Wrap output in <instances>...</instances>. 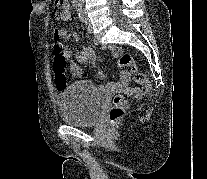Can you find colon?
<instances>
[{
    "label": "colon",
    "mask_w": 207,
    "mask_h": 179,
    "mask_svg": "<svg viewBox=\"0 0 207 179\" xmlns=\"http://www.w3.org/2000/svg\"><path fill=\"white\" fill-rule=\"evenodd\" d=\"M67 0H54L53 1V11L54 15L57 18H60L63 13L67 10ZM54 71L56 77L58 79V83L60 86L66 84V75H67V60L66 56L63 52V46L61 43V37L54 33ZM118 66L123 68L130 66L132 72L134 73V79L138 83V87L134 90L132 95L133 99H138L147 94L151 88V84L146 78V76L137 70L134 58L130 54H123L120 59L118 60ZM128 106V100L120 95L117 94L113 98L112 108L109 112V120L111 122H115L120 119L126 111Z\"/></svg>",
    "instance_id": "colon-1"
}]
</instances>
